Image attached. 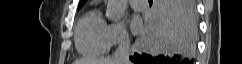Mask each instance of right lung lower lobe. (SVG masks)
<instances>
[{
  "mask_svg": "<svg viewBox=\"0 0 242 64\" xmlns=\"http://www.w3.org/2000/svg\"><path fill=\"white\" fill-rule=\"evenodd\" d=\"M156 21L160 49L155 56L135 54V64H188L196 44L197 15L194 0H157Z\"/></svg>",
  "mask_w": 242,
  "mask_h": 64,
  "instance_id": "obj_1",
  "label": "right lung lower lobe"
}]
</instances>
